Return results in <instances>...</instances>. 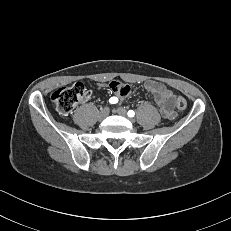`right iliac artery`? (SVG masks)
I'll use <instances>...</instances> for the list:
<instances>
[{
	"label": "right iliac artery",
	"instance_id": "82829eb1",
	"mask_svg": "<svg viewBox=\"0 0 231 231\" xmlns=\"http://www.w3.org/2000/svg\"><path fill=\"white\" fill-rule=\"evenodd\" d=\"M109 102H110L111 104H116V103L118 102V98H117V97H111V98L109 99Z\"/></svg>",
	"mask_w": 231,
	"mask_h": 231
}]
</instances>
